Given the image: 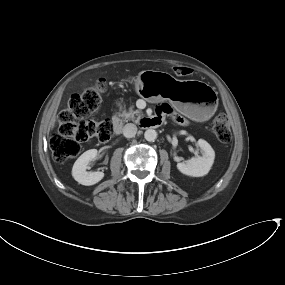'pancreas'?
I'll use <instances>...</instances> for the list:
<instances>
[{
    "label": "pancreas",
    "mask_w": 285,
    "mask_h": 285,
    "mask_svg": "<svg viewBox=\"0 0 285 285\" xmlns=\"http://www.w3.org/2000/svg\"><path fill=\"white\" fill-rule=\"evenodd\" d=\"M142 115H143L142 111L134 110V106H131L129 110H126L125 106L122 105L119 106L118 116L121 117V119L125 122H127L128 120L139 122Z\"/></svg>",
    "instance_id": "1"
}]
</instances>
